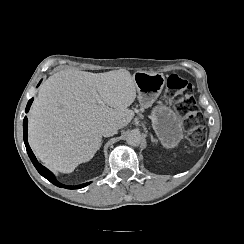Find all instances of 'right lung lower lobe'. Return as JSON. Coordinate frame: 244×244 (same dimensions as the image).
Listing matches in <instances>:
<instances>
[{"label": "right lung lower lobe", "mask_w": 244, "mask_h": 244, "mask_svg": "<svg viewBox=\"0 0 244 244\" xmlns=\"http://www.w3.org/2000/svg\"><path fill=\"white\" fill-rule=\"evenodd\" d=\"M32 101H33V98L30 99L27 103V106H26V112L29 111L30 109V106L32 104ZM28 119L27 117L24 118L23 120V132H24V143H25V146H26V150H27V153L29 155V158L31 159L33 165L35 166V168L38 170V172L43 176L45 177L47 180H49L51 183H53L54 185L58 186V187H63V188H67V189H79V188H83L85 186H87L88 184L90 183H85V184H81V185H77V186H66V185H63L61 183H59L52 172H50L47 168H45L44 166H42L40 163H38L35 155L33 154L31 148L29 147V144H28V141H27V127H28Z\"/></svg>", "instance_id": "98d812e1"}]
</instances>
